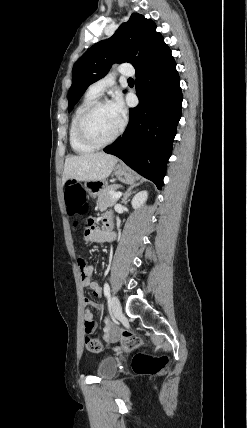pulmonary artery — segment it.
<instances>
[{"instance_id": "1", "label": "pulmonary artery", "mask_w": 247, "mask_h": 428, "mask_svg": "<svg viewBox=\"0 0 247 428\" xmlns=\"http://www.w3.org/2000/svg\"><path fill=\"white\" fill-rule=\"evenodd\" d=\"M118 72L123 76L134 75V69L129 64H122L119 67ZM113 83H114V74L109 73L105 77H103V78L99 79L98 81L94 82L93 84H91L89 87V91L92 92L93 94L99 96L103 93V91L107 87L111 86Z\"/></svg>"}]
</instances>
